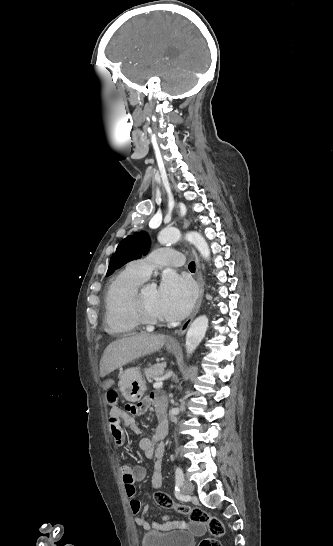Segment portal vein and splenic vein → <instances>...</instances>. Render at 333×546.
Masks as SVG:
<instances>
[{
    "instance_id": "18ae733b",
    "label": "portal vein and splenic vein",
    "mask_w": 333,
    "mask_h": 546,
    "mask_svg": "<svg viewBox=\"0 0 333 546\" xmlns=\"http://www.w3.org/2000/svg\"><path fill=\"white\" fill-rule=\"evenodd\" d=\"M165 377H162L160 379H157L156 382L153 384V387L155 389L157 388H161L163 386V381H164Z\"/></svg>"
}]
</instances>
